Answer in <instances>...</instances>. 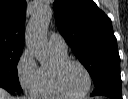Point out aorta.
Instances as JSON below:
<instances>
[{"label":"aorta","instance_id":"aorta-1","mask_svg":"<svg viewBox=\"0 0 128 99\" xmlns=\"http://www.w3.org/2000/svg\"><path fill=\"white\" fill-rule=\"evenodd\" d=\"M52 18L48 7L37 9L32 15L26 31V46L31 50L40 64H47L50 54L47 46L45 29Z\"/></svg>","mask_w":128,"mask_h":99}]
</instances>
